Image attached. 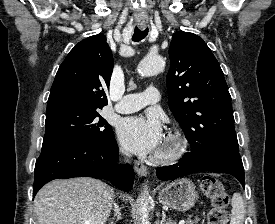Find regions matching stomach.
<instances>
[{
	"label": "stomach",
	"mask_w": 275,
	"mask_h": 224,
	"mask_svg": "<svg viewBox=\"0 0 275 224\" xmlns=\"http://www.w3.org/2000/svg\"><path fill=\"white\" fill-rule=\"evenodd\" d=\"M194 183L182 178L165 185L159 192L160 203L171 209L185 212L190 210L198 199Z\"/></svg>",
	"instance_id": "stomach-1"
}]
</instances>
